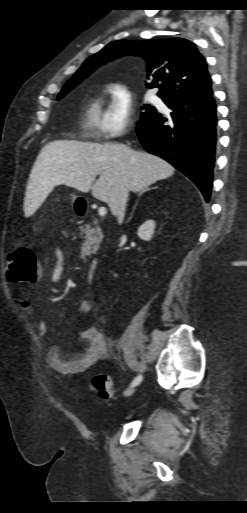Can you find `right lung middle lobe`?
I'll return each mask as SVG.
<instances>
[{
  "label": "right lung middle lobe",
  "mask_w": 247,
  "mask_h": 513,
  "mask_svg": "<svg viewBox=\"0 0 247 513\" xmlns=\"http://www.w3.org/2000/svg\"><path fill=\"white\" fill-rule=\"evenodd\" d=\"M81 80H78L76 78H72L70 79L66 85L63 87V89L61 90L59 96H58V99H60L61 97H63L66 93H68L74 86H76ZM145 107L147 108L146 111L142 114V118L140 121L144 120L146 117H149L151 115H153L155 112H156V109L154 107H150L149 105H145Z\"/></svg>",
  "instance_id": "obj_1"
}]
</instances>
